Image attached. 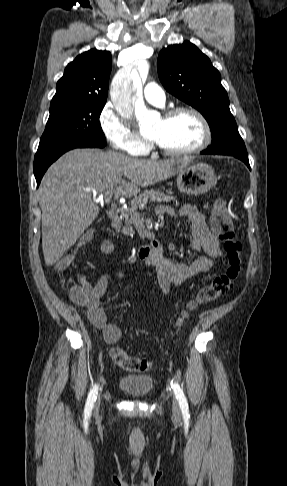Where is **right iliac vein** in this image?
Instances as JSON below:
<instances>
[{
	"instance_id": "obj_1",
	"label": "right iliac vein",
	"mask_w": 287,
	"mask_h": 486,
	"mask_svg": "<svg viewBox=\"0 0 287 486\" xmlns=\"http://www.w3.org/2000/svg\"><path fill=\"white\" fill-rule=\"evenodd\" d=\"M100 405V400L98 399L95 403V411H98Z\"/></svg>"
}]
</instances>
